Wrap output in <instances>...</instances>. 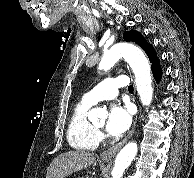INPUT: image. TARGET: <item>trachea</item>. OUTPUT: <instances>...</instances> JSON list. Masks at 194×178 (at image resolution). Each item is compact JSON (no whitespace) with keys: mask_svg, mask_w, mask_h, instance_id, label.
<instances>
[{"mask_svg":"<svg viewBox=\"0 0 194 178\" xmlns=\"http://www.w3.org/2000/svg\"><path fill=\"white\" fill-rule=\"evenodd\" d=\"M128 91L133 92V86L132 85L128 86Z\"/></svg>","mask_w":194,"mask_h":178,"instance_id":"trachea-1","label":"trachea"}]
</instances>
